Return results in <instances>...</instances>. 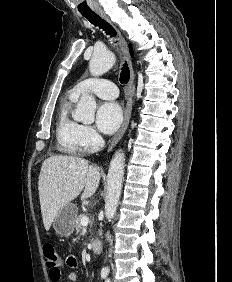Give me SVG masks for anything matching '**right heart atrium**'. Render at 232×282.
<instances>
[{"mask_svg": "<svg viewBox=\"0 0 232 282\" xmlns=\"http://www.w3.org/2000/svg\"><path fill=\"white\" fill-rule=\"evenodd\" d=\"M79 140L83 150L91 151L100 144L101 137L93 127L81 125L79 131Z\"/></svg>", "mask_w": 232, "mask_h": 282, "instance_id": "right-heart-atrium-1", "label": "right heart atrium"}]
</instances>
